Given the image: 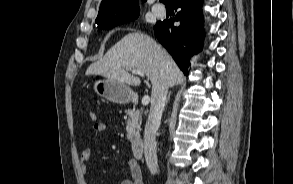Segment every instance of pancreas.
I'll list each match as a JSON object with an SVG mask.
<instances>
[{"instance_id": "obj_1", "label": "pancreas", "mask_w": 293, "mask_h": 184, "mask_svg": "<svg viewBox=\"0 0 293 184\" xmlns=\"http://www.w3.org/2000/svg\"><path fill=\"white\" fill-rule=\"evenodd\" d=\"M126 113L128 115V120L126 125L127 138L130 141H133L135 137L139 136L141 119H142L141 111L133 108V109H128Z\"/></svg>"}]
</instances>
